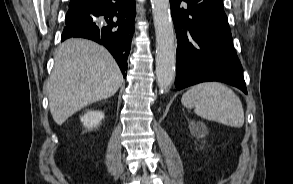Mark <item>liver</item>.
<instances>
[{"label":"liver","mask_w":293,"mask_h":184,"mask_svg":"<svg viewBox=\"0 0 293 184\" xmlns=\"http://www.w3.org/2000/svg\"><path fill=\"white\" fill-rule=\"evenodd\" d=\"M48 82L51 115L57 125L82 108L113 96L123 83L111 54L87 39H68L54 56Z\"/></svg>","instance_id":"1"}]
</instances>
